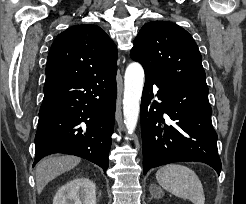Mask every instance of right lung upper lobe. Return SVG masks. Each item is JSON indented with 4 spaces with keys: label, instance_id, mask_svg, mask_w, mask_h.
<instances>
[{
    "label": "right lung upper lobe",
    "instance_id": "obj_1",
    "mask_svg": "<svg viewBox=\"0 0 246 204\" xmlns=\"http://www.w3.org/2000/svg\"><path fill=\"white\" fill-rule=\"evenodd\" d=\"M117 48L98 26L75 25L54 40L47 60L45 84L117 72Z\"/></svg>",
    "mask_w": 246,
    "mask_h": 204
}]
</instances>
